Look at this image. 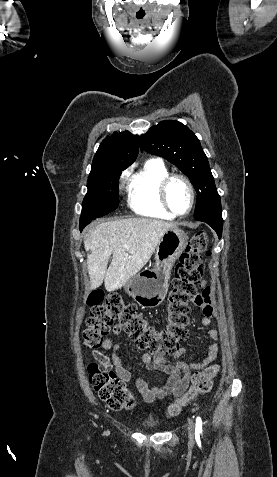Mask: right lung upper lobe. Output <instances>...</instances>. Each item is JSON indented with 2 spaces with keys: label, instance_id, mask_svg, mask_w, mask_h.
<instances>
[{
  "label": "right lung upper lobe",
  "instance_id": "obj_1",
  "mask_svg": "<svg viewBox=\"0 0 277 477\" xmlns=\"http://www.w3.org/2000/svg\"><path fill=\"white\" fill-rule=\"evenodd\" d=\"M138 148V135H133L129 131L114 132L100 144L94 156L90 174L114 167L127 168L135 161Z\"/></svg>",
  "mask_w": 277,
  "mask_h": 477
}]
</instances>
